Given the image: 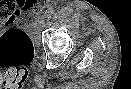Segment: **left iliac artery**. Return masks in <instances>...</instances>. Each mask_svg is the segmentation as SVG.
I'll list each match as a JSON object with an SVG mask.
<instances>
[{"label":"left iliac artery","mask_w":131,"mask_h":89,"mask_svg":"<svg viewBox=\"0 0 131 89\" xmlns=\"http://www.w3.org/2000/svg\"><path fill=\"white\" fill-rule=\"evenodd\" d=\"M54 14V9L53 8H49L48 10H46L45 12V16L46 18H50L52 15Z\"/></svg>","instance_id":"44dca946"}]
</instances>
